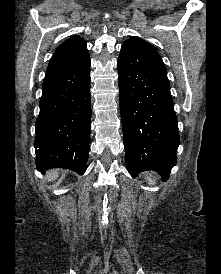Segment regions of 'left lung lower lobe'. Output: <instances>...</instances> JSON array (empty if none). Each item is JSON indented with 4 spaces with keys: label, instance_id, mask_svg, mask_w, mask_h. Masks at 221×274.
<instances>
[{
    "label": "left lung lower lobe",
    "instance_id": "1",
    "mask_svg": "<svg viewBox=\"0 0 221 274\" xmlns=\"http://www.w3.org/2000/svg\"><path fill=\"white\" fill-rule=\"evenodd\" d=\"M117 67L127 170L132 177L155 170L167 180L180 140L165 64L124 43Z\"/></svg>",
    "mask_w": 221,
    "mask_h": 274
}]
</instances>
